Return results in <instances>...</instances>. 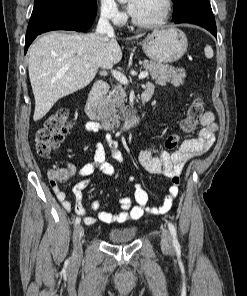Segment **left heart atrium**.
Wrapping results in <instances>:
<instances>
[{
    "mask_svg": "<svg viewBox=\"0 0 247 296\" xmlns=\"http://www.w3.org/2000/svg\"><path fill=\"white\" fill-rule=\"evenodd\" d=\"M139 1L140 0H130L127 5V9L132 16H134L135 13L137 12Z\"/></svg>",
    "mask_w": 247,
    "mask_h": 296,
    "instance_id": "1",
    "label": "left heart atrium"
}]
</instances>
